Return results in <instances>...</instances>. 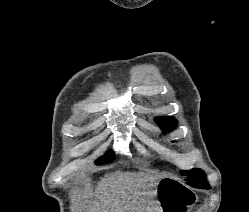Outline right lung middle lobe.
Returning <instances> with one entry per match:
<instances>
[{"label": "right lung middle lobe", "instance_id": "1", "mask_svg": "<svg viewBox=\"0 0 249 212\" xmlns=\"http://www.w3.org/2000/svg\"><path fill=\"white\" fill-rule=\"evenodd\" d=\"M114 158H115L114 152L112 150H109L96 161V164L102 165L105 163H109V162H112Z\"/></svg>", "mask_w": 249, "mask_h": 212}]
</instances>
